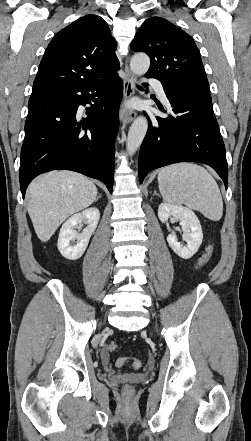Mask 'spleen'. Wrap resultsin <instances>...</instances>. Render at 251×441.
Wrapping results in <instances>:
<instances>
[{
  "label": "spleen",
  "instance_id": "1",
  "mask_svg": "<svg viewBox=\"0 0 251 441\" xmlns=\"http://www.w3.org/2000/svg\"><path fill=\"white\" fill-rule=\"evenodd\" d=\"M158 185L163 199L172 205H186L206 218L219 221L223 214L220 189L212 175L194 163H177L162 168Z\"/></svg>",
  "mask_w": 251,
  "mask_h": 441
}]
</instances>
